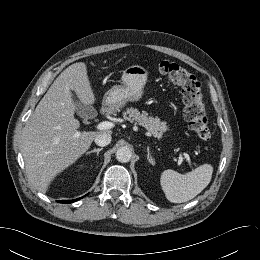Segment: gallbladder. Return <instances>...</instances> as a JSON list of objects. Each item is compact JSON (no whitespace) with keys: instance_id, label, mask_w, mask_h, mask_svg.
Segmentation results:
<instances>
[{"instance_id":"gallbladder-1","label":"gallbladder","mask_w":260,"mask_h":260,"mask_svg":"<svg viewBox=\"0 0 260 260\" xmlns=\"http://www.w3.org/2000/svg\"><path fill=\"white\" fill-rule=\"evenodd\" d=\"M76 106V113L82 118H93L97 115V111L88 105H84L80 101H74Z\"/></svg>"}]
</instances>
